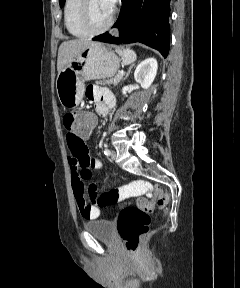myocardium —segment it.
Wrapping results in <instances>:
<instances>
[{"mask_svg":"<svg viewBox=\"0 0 240 288\" xmlns=\"http://www.w3.org/2000/svg\"><path fill=\"white\" fill-rule=\"evenodd\" d=\"M89 2L90 0H82L81 5H80V11H79V22L81 27L88 33V34H98L106 31L109 29V27L113 23V15H110L109 19L107 22L100 26V27H94L92 26L90 22V17H89Z\"/></svg>","mask_w":240,"mask_h":288,"instance_id":"obj_1","label":"myocardium"}]
</instances>
